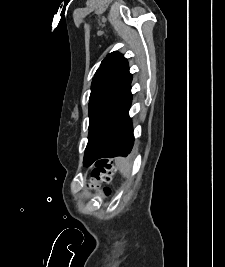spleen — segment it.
<instances>
[{"label": "spleen", "instance_id": "spleen-1", "mask_svg": "<svg viewBox=\"0 0 225 267\" xmlns=\"http://www.w3.org/2000/svg\"><path fill=\"white\" fill-rule=\"evenodd\" d=\"M115 162L121 174L128 177L131 171V163L129 162V160L124 158H117Z\"/></svg>", "mask_w": 225, "mask_h": 267}]
</instances>
